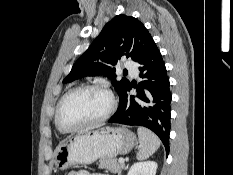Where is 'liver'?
<instances>
[{"mask_svg": "<svg viewBox=\"0 0 233 175\" xmlns=\"http://www.w3.org/2000/svg\"><path fill=\"white\" fill-rule=\"evenodd\" d=\"M86 131H88V130H85V131H82V132H86ZM82 132H80V133H82Z\"/></svg>", "mask_w": 233, "mask_h": 175, "instance_id": "1", "label": "liver"}]
</instances>
